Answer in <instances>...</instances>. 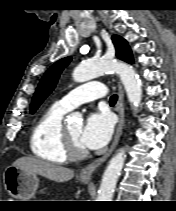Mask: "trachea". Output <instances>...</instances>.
I'll return each instance as SVG.
<instances>
[{"mask_svg": "<svg viewBox=\"0 0 176 211\" xmlns=\"http://www.w3.org/2000/svg\"><path fill=\"white\" fill-rule=\"evenodd\" d=\"M116 101H117V95H112V96L110 97V104H115Z\"/></svg>", "mask_w": 176, "mask_h": 211, "instance_id": "trachea-1", "label": "trachea"}]
</instances>
